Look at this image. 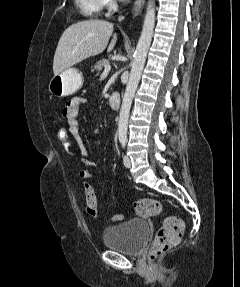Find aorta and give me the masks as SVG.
I'll return each instance as SVG.
<instances>
[{
	"label": "aorta",
	"instance_id": "762f6f07",
	"mask_svg": "<svg viewBox=\"0 0 240 287\" xmlns=\"http://www.w3.org/2000/svg\"><path fill=\"white\" fill-rule=\"evenodd\" d=\"M154 27H155V5L153 0H149L146 9L142 32L136 46L129 80L126 86L125 94L120 109L119 121H118L119 140H126L127 138V127H128L130 108L137 86L141 78L148 50L151 45L154 33Z\"/></svg>",
	"mask_w": 240,
	"mask_h": 287
}]
</instances>
